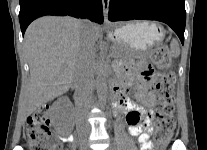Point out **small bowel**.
Wrapping results in <instances>:
<instances>
[{
	"label": "small bowel",
	"mask_w": 207,
	"mask_h": 150,
	"mask_svg": "<svg viewBox=\"0 0 207 150\" xmlns=\"http://www.w3.org/2000/svg\"><path fill=\"white\" fill-rule=\"evenodd\" d=\"M118 69L123 73L124 79L116 84L113 108L117 113L125 116L129 125V132L137 137L140 150H153V143L149 139L152 120V107L155 96L152 92L154 69L146 63L136 65L121 63ZM135 84L136 98L141 103L138 105L126 95L130 87ZM65 141H72L73 136L62 137Z\"/></svg>",
	"instance_id": "obj_1"
}]
</instances>
